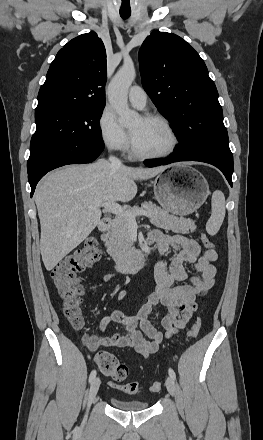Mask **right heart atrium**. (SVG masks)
I'll return each instance as SVG.
<instances>
[{
  "instance_id": "1",
  "label": "right heart atrium",
  "mask_w": 263,
  "mask_h": 440,
  "mask_svg": "<svg viewBox=\"0 0 263 440\" xmlns=\"http://www.w3.org/2000/svg\"><path fill=\"white\" fill-rule=\"evenodd\" d=\"M99 135L102 143L112 151H121L128 146L126 131L118 123L116 116L104 110L98 122Z\"/></svg>"
}]
</instances>
